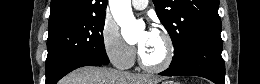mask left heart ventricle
Returning <instances> with one entry per match:
<instances>
[{"label":"left heart ventricle","instance_id":"1","mask_svg":"<svg viewBox=\"0 0 260 84\" xmlns=\"http://www.w3.org/2000/svg\"><path fill=\"white\" fill-rule=\"evenodd\" d=\"M137 46L143 60L149 65H158L166 56V45L159 34L148 37L142 32L137 40Z\"/></svg>","mask_w":260,"mask_h":84}]
</instances>
